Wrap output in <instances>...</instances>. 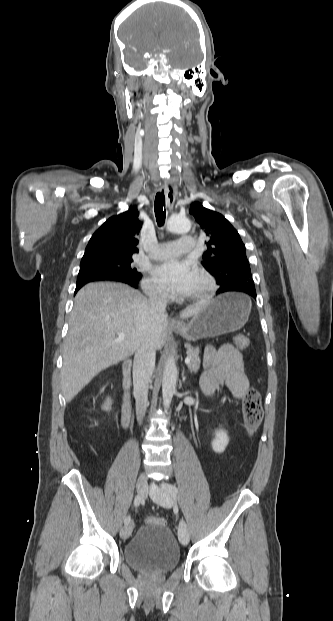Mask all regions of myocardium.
Returning <instances> with one entry per match:
<instances>
[{
  "label": "myocardium",
  "mask_w": 333,
  "mask_h": 621,
  "mask_svg": "<svg viewBox=\"0 0 333 621\" xmlns=\"http://www.w3.org/2000/svg\"><path fill=\"white\" fill-rule=\"evenodd\" d=\"M197 274L201 276L202 279L205 281L206 288L198 294L183 297L182 299L185 301H189V302L207 301L211 299L217 291L216 281L214 277L206 269L198 268Z\"/></svg>",
  "instance_id": "f54148a6"
}]
</instances>
